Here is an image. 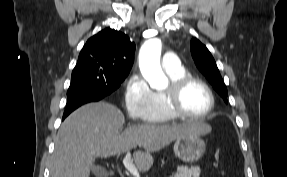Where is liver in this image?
<instances>
[{"label":"liver","instance_id":"obj_1","mask_svg":"<svg viewBox=\"0 0 287 177\" xmlns=\"http://www.w3.org/2000/svg\"><path fill=\"white\" fill-rule=\"evenodd\" d=\"M125 118L114 105L106 102L86 104L62 123L50 167V177H89L98 157H110L140 146L133 160L141 172L153 165L152 152L187 134H207L211 127L191 120L173 124H138L121 132Z\"/></svg>","mask_w":287,"mask_h":177}]
</instances>
